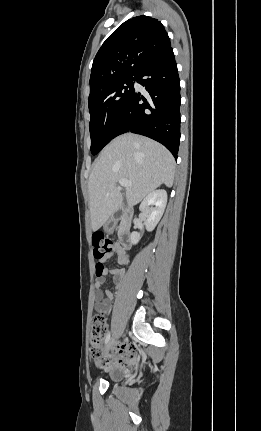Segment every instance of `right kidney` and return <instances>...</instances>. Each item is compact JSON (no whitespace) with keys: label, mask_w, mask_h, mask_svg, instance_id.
<instances>
[{"label":"right kidney","mask_w":261,"mask_h":431,"mask_svg":"<svg viewBox=\"0 0 261 431\" xmlns=\"http://www.w3.org/2000/svg\"><path fill=\"white\" fill-rule=\"evenodd\" d=\"M167 204V192L159 189L149 193L142 203L140 204L139 210L141 214L146 218L145 226L147 231H152L160 221L165 207ZM149 208V206H153ZM132 244H137L140 240V234L132 232L131 234Z\"/></svg>","instance_id":"obj_1"}]
</instances>
